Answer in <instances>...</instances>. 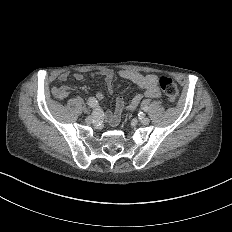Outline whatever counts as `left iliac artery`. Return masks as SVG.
<instances>
[{
  "mask_svg": "<svg viewBox=\"0 0 232 232\" xmlns=\"http://www.w3.org/2000/svg\"><path fill=\"white\" fill-rule=\"evenodd\" d=\"M137 117H138V120H142L145 118V114L142 111H140L138 112Z\"/></svg>",
  "mask_w": 232,
  "mask_h": 232,
  "instance_id": "1",
  "label": "left iliac artery"
}]
</instances>
